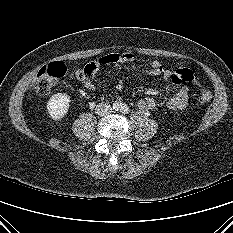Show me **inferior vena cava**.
<instances>
[{
	"mask_svg": "<svg viewBox=\"0 0 233 233\" xmlns=\"http://www.w3.org/2000/svg\"><path fill=\"white\" fill-rule=\"evenodd\" d=\"M111 111H112V108L107 103H99L95 109V113L101 117L109 115Z\"/></svg>",
	"mask_w": 233,
	"mask_h": 233,
	"instance_id": "inferior-vena-cava-1",
	"label": "inferior vena cava"
}]
</instances>
